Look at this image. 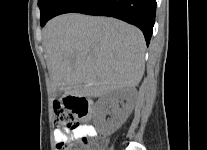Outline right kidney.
I'll use <instances>...</instances> for the list:
<instances>
[{"label":"right kidney","instance_id":"1","mask_svg":"<svg viewBox=\"0 0 207 150\" xmlns=\"http://www.w3.org/2000/svg\"><path fill=\"white\" fill-rule=\"evenodd\" d=\"M131 96L132 92L129 88H119L98 99L94 109V118L102 125L104 133L108 135L114 133L126 121L132 110ZM124 100H126L125 104ZM119 103H123L122 108L119 107ZM109 107L112 108L113 116L106 121Z\"/></svg>","mask_w":207,"mask_h":150}]
</instances>
